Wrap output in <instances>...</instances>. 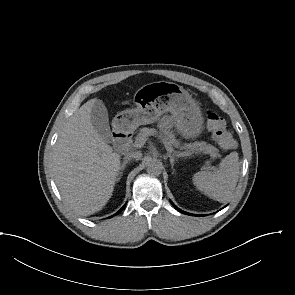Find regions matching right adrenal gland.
I'll use <instances>...</instances> for the list:
<instances>
[{
  "label": "right adrenal gland",
  "mask_w": 295,
  "mask_h": 295,
  "mask_svg": "<svg viewBox=\"0 0 295 295\" xmlns=\"http://www.w3.org/2000/svg\"><path fill=\"white\" fill-rule=\"evenodd\" d=\"M128 162H129V160H124V162L120 165L119 170H118V172H117V178H116V181H117V182L121 179V177H122V175H123V171H124V169H125V167H126V164H127Z\"/></svg>",
  "instance_id": "right-adrenal-gland-1"
}]
</instances>
